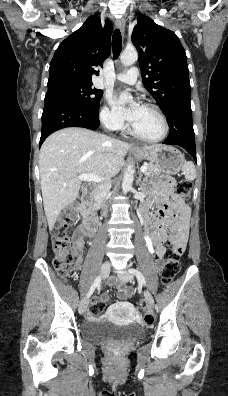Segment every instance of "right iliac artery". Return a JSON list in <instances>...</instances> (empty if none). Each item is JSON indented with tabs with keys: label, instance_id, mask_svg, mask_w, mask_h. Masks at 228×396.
I'll return each mask as SVG.
<instances>
[{
	"label": "right iliac artery",
	"instance_id": "right-iliac-artery-1",
	"mask_svg": "<svg viewBox=\"0 0 228 396\" xmlns=\"http://www.w3.org/2000/svg\"><path fill=\"white\" fill-rule=\"evenodd\" d=\"M100 284H101V276H98V277L95 279V281H94L93 285L91 286V288L89 289V291H88V293H87V298H89V297L93 294L94 290H95L97 287H99Z\"/></svg>",
	"mask_w": 228,
	"mask_h": 396
}]
</instances>
